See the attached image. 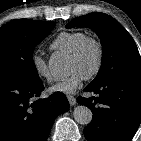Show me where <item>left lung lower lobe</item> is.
<instances>
[{
  "mask_svg": "<svg viewBox=\"0 0 141 141\" xmlns=\"http://www.w3.org/2000/svg\"><path fill=\"white\" fill-rule=\"evenodd\" d=\"M85 91L99 94L98 98L77 99L93 113L91 123L84 129L86 139L131 141L141 122V77H118L89 84Z\"/></svg>",
  "mask_w": 141,
  "mask_h": 141,
  "instance_id": "0a47b994",
  "label": "left lung lower lobe"
}]
</instances>
